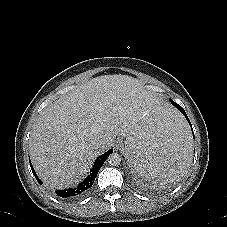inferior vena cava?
<instances>
[{"mask_svg": "<svg viewBox=\"0 0 227 227\" xmlns=\"http://www.w3.org/2000/svg\"><path fill=\"white\" fill-rule=\"evenodd\" d=\"M104 142L103 141H101V140H98V141H94L93 143H92V145H93V148L94 149H100V148H102V147H104Z\"/></svg>", "mask_w": 227, "mask_h": 227, "instance_id": "inferior-vena-cava-1", "label": "inferior vena cava"}]
</instances>
